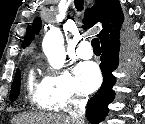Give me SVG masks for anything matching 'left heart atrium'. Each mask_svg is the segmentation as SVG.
<instances>
[{
    "mask_svg": "<svg viewBox=\"0 0 145 124\" xmlns=\"http://www.w3.org/2000/svg\"><path fill=\"white\" fill-rule=\"evenodd\" d=\"M77 78L81 89L85 92L94 91L101 82L99 69L93 62L80 64L77 67Z\"/></svg>",
    "mask_w": 145,
    "mask_h": 124,
    "instance_id": "obj_1",
    "label": "left heart atrium"
}]
</instances>
